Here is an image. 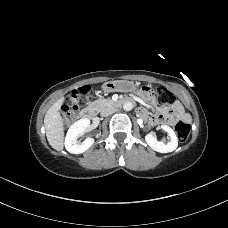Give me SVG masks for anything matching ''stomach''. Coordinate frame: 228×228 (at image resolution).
<instances>
[{"instance_id": "1", "label": "stomach", "mask_w": 228, "mask_h": 228, "mask_svg": "<svg viewBox=\"0 0 228 228\" xmlns=\"http://www.w3.org/2000/svg\"><path fill=\"white\" fill-rule=\"evenodd\" d=\"M137 85L131 81L127 80H114L105 82L102 85V90L104 92H132L137 90Z\"/></svg>"}]
</instances>
